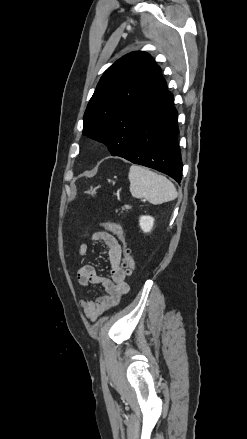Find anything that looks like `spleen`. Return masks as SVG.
<instances>
[{"instance_id":"obj_1","label":"spleen","mask_w":247,"mask_h":439,"mask_svg":"<svg viewBox=\"0 0 247 439\" xmlns=\"http://www.w3.org/2000/svg\"><path fill=\"white\" fill-rule=\"evenodd\" d=\"M128 178L132 196L146 198L154 205L173 201L178 196L174 184L169 179L145 167L132 165Z\"/></svg>"}]
</instances>
